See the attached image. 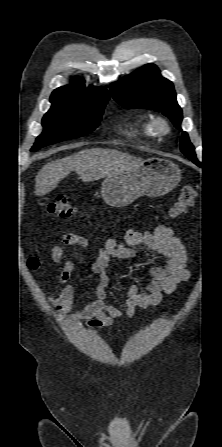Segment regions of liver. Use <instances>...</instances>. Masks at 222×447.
<instances>
[{
    "label": "liver",
    "instance_id": "1",
    "mask_svg": "<svg viewBox=\"0 0 222 447\" xmlns=\"http://www.w3.org/2000/svg\"><path fill=\"white\" fill-rule=\"evenodd\" d=\"M142 160L117 150L91 148L47 163L35 178V195L43 196L54 190L70 172H76L83 182L98 180L118 171L133 169Z\"/></svg>",
    "mask_w": 222,
    "mask_h": 447
}]
</instances>
